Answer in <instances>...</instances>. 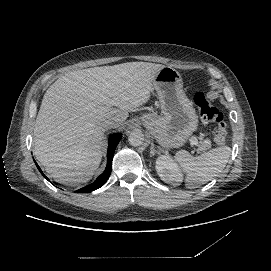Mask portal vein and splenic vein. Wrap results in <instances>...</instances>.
Masks as SVG:
<instances>
[{"mask_svg": "<svg viewBox=\"0 0 271 271\" xmlns=\"http://www.w3.org/2000/svg\"><path fill=\"white\" fill-rule=\"evenodd\" d=\"M187 142L188 144H190V146L194 148H197L199 146L197 139L193 136L188 137Z\"/></svg>", "mask_w": 271, "mask_h": 271, "instance_id": "1", "label": "portal vein and splenic vein"}]
</instances>
